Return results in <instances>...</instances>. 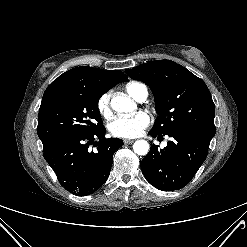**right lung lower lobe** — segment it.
I'll use <instances>...</instances> for the list:
<instances>
[{"mask_svg": "<svg viewBox=\"0 0 247 247\" xmlns=\"http://www.w3.org/2000/svg\"><path fill=\"white\" fill-rule=\"evenodd\" d=\"M105 133L103 126L91 133L68 134L43 143L45 160L69 192L89 195L108 179L113 154L123 141L107 139ZM91 145L96 147L94 151Z\"/></svg>", "mask_w": 247, "mask_h": 247, "instance_id": "right-lung-lower-lobe-1", "label": "right lung lower lobe"}]
</instances>
